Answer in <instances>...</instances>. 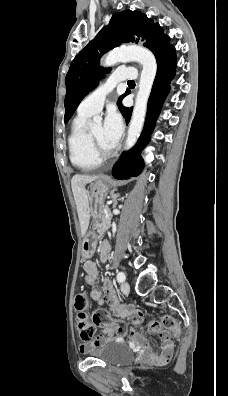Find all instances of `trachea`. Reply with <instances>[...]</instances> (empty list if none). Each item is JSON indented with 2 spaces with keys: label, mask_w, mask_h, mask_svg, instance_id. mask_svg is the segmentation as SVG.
I'll list each match as a JSON object with an SVG mask.
<instances>
[{
  "label": "trachea",
  "mask_w": 228,
  "mask_h": 396,
  "mask_svg": "<svg viewBox=\"0 0 228 396\" xmlns=\"http://www.w3.org/2000/svg\"><path fill=\"white\" fill-rule=\"evenodd\" d=\"M134 81H132V80H130V81H128V83H133Z\"/></svg>",
  "instance_id": "obj_1"
}]
</instances>
